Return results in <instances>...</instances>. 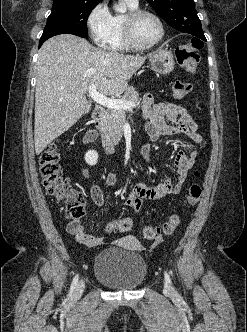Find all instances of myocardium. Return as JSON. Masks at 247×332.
I'll return each instance as SVG.
<instances>
[{
    "label": "myocardium",
    "mask_w": 247,
    "mask_h": 332,
    "mask_svg": "<svg viewBox=\"0 0 247 332\" xmlns=\"http://www.w3.org/2000/svg\"><path fill=\"white\" fill-rule=\"evenodd\" d=\"M143 15H149V16L153 17L158 22V24L160 26V30H161L160 37L155 42H153L149 45H141V44L137 43V41L135 40V37H134V33H133V28H134L135 22L137 21L138 18H140ZM123 34H124V39L129 47H131L134 50L145 51V50L152 49V48L156 47L157 45H159L165 38L166 30H165V25L163 23V20L160 18V16L157 13H155L151 10L137 8V9L130 10L124 16Z\"/></svg>",
    "instance_id": "1"
}]
</instances>
